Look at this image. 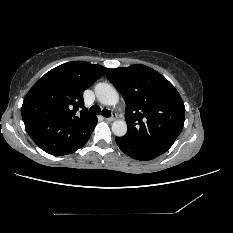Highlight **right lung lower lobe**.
I'll return each mask as SVG.
<instances>
[{
  "label": "right lung lower lobe",
  "instance_id": "98d812e1",
  "mask_svg": "<svg viewBox=\"0 0 233 233\" xmlns=\"http://www.w3.org/2000/svg\"><path fill=\"white\" fill-rule=\"evenodd\" d=\"M97 123V122H96ZM96 123L93 125V127L88 131V133L85 135V137L81 140V142H79L74 148L68 150L67 152L61 154V155H67V154H71L73 152H75L76 150H78L79 148H81L89 139L93 129L96 126ZM59 156V155H58Z\"/></svg>",
  "mask_w": 233,
  "mask_h": 233
}]
</instances>
